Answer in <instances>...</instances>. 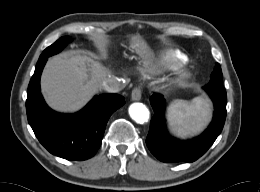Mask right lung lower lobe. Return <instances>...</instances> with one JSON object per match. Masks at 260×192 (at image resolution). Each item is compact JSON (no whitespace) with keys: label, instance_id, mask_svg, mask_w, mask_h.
I'll return each instance as SVG.
<instances>
[{"label":"right lung lower lobe","instance_id":"98d812e1","mask_svg":"<svg viewBox=\"0 0 260 192\" xmlns=\"http://www.w3.org/2000/svg\"><path fill=\"white\" fill-rule=\"evenodd\" d=\"M47 59L37 62L30 80L26 110L31 128L40 143L53 155L67 160H86L99 149L109 117L125 104L118 94H102L81 111L56 113L40 92V76Z\"/></svg>","mask_w":260,"mask_h":192}]
</instances>
